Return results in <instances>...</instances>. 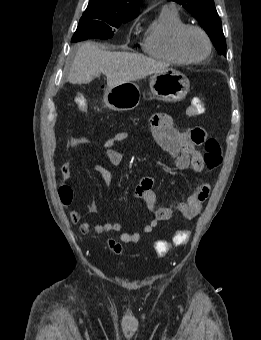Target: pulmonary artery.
Returning a JSON list of instances; mask_svg holds the SVG:
<instances>
[{"label": "pulmonary artery", "instance_id": "1", "mask_svg": "<svg viewBox=\"0 0 261 340\" xmlns=\"http://www.w3.org/2000/svg\"><path fill=\"white\" fill-rule=\"evenodd\" d=\"M164 6L175 7V4L169 3V4H166V5H164Z\"/></svg>", "mask_w": 261, "mask_h": 340}]
</instances>
